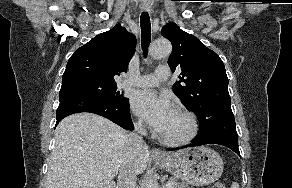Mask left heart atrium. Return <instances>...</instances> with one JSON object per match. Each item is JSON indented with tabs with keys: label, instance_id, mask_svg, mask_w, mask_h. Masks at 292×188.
Here are the masks:
<instances>
[{
	"label": "left heart atrium",
	"instance_id": "1",
	"mask_svg": "<svg viewBox=\"0 0 292 188\" xmlns=\"http://www.w3.org/2000/svg\"><path fill=\"white\" fill-rule=\"evenodd\" d=\"M132 109L159 133L164 132L176 112L168 96L149 89L134 95Z\"/></svg>",
	"mask_w": 292,
	"mask_h": 188
}]
</instances>
